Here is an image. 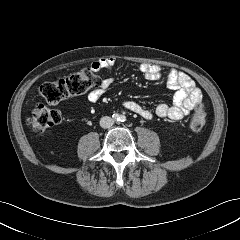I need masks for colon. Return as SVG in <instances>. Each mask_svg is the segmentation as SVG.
I'll list each match as a JSON object with an SVG mask.
<instances>
[{"mask_svg":"<svg viewBox=\"0 0 240 240\" xmlns=\"http://www.w3.org/2000/svg\"><path fill=\"white\" fill-rule=\"evenodd\" d=\"M97 84L98 79L93 72L82 70L44 82L40 87V94L48 103L57 104L69 97L83 95ZM61 120L62 115L58 110L39 104L32 110L28 122L34 132L42 133L58 125ZM205 122V109L200 104L195 108L189 120V129L198 132L204 127Z\"/></svg>","mask_w":240,"mask_h":240,"instance_id":"colon-1","label":"colon"}]
</instances>
